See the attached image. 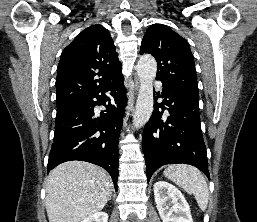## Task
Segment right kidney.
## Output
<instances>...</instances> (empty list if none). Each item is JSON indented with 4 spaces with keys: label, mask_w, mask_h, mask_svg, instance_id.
Here are the masks:
<instances>
[{
    "label": "right kidney",
    "mask_w": 257,
    "mask_h": 222,
    "mask_svg": "<svg viewBox=\"0 0 257 222\" xmlns=\"http://www.w3.org/2000/svg\"><path fill=\"white\" fill-rule=\"evenodd\" d=\"M108 221V214L106 212H97L93 215L82 220V222H107Z\"/></svg>",
    "instance_id": "ca27d5eb"
}]
</instances>
